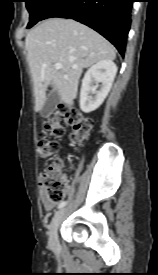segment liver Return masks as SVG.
<instances>
[{"label":"liver","instance_id":"6515ba94","mask_svg":"<svg viewBox=\"0 0 158 275\" xmlns=\"http://www.w3.org/2000/svg\"><path fill=\"white\" fill-rule=\"evenodd\" d=\"M25 47L35 94V110L41 111L49 86L68 106L77 97L84 68L102 60H114L115 48L91 28L72 19L50 18L26 36ZM61 63L56 70L54 65Z\"/></svg>","mask_w":158,"mask_h":275}]
</instances>
